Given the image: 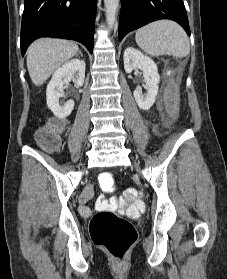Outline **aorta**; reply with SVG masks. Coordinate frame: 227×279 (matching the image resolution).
I'll return each instance as SVG.
<instances>
[{
	"mask_svg": "<svg viewBox=\"0 0 227 279\" xmlns=\"http://www.w3.org/2000/svg\"><path fill=\"white\" fill-rule=\"evenodd\" d=\"M120 0H104L106 21L110 28L113 27L115 23L116 13L119 7Z\"/></svg>",
	"mask_w": 227,
	"mask_h": 279,
	"instance_id": "aorta-1",
	"label": "aorta"
}]
</instances>
